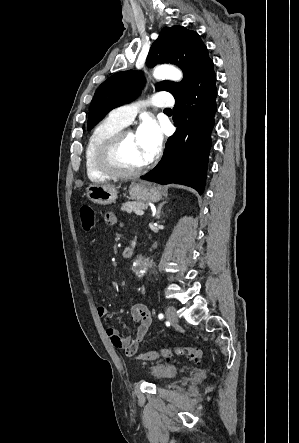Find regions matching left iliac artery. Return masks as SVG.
<instances>
[{
  "label": "left iliac artery",
  "mask_w": 299,
  "mask_h": 443,
  "mask_svg": "<svg viewBox=\"0 0 299 443\" xmlns=\"http://www.w3.org/2000/svg\"><path fill=\"white\" fill-rule=\"evenodd\" d=\"M158 318H159V319H163V318H164V315H163V314H159V315H158Z\"/></svg>",
  "instance_id": "44dca946"
}]
</instances>
